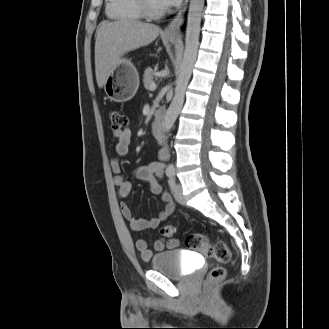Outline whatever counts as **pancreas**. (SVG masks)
Here are the masks:
<instances>
[{
	"label": "pancreas",
	"instance_id": "cf45deb5",
	"mask_svg": "<svg viewBox=\"0 0 329 329\" xmlns=\"http://www.w3.org/2000/svg\"><path fill=\"white\" fill-rule=\"evenodd\" d=\"M154 71L152 68H147L145 71H144V74H143V83H144V87L146 89H149L150 87V84L153 82V78H154Z\"/></svg>",
	"mask_w": 329,
	"mask_h": 329
}]
</instances>
